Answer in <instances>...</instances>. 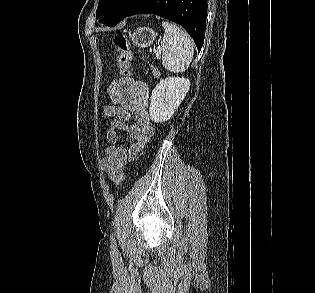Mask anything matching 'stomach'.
<instances>
[{"label":"stomach","instance_id":"0dacf381","mask_svg":"<svg viewBox=\"0 0 315 293\" xmlns=\"http://www.w3.org/2000/svg\"><path fill=\"white\" fill-rule=\"evenodd\" d=\"M157 34L149 27H139L132 33H129L130 41L139 48H146L153 44Z\"/></svg>","mask_w":315,"mask_h":293}]
</instances>
